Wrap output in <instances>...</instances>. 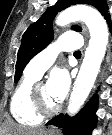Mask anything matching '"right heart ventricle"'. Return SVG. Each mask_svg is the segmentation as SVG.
<instances>
[{
    "instance_id": "e07e8e85",
    "label": "right heart ventricle",
    "mask_w": 112,
    "mask_h": 135,
    "mask_svg": "<svg viewBox=\"0 0 112 135\" xmlns=\"http://www.w3.org/2000/svg\"><path fill=\"white\" fill-rule=\"evenodd\" d=\"M38 79L25 72L10 100V113L15 121L23 126H36L43 119L33 110L30 101L31 89Z\"/></svg>"
}]
</instances>
